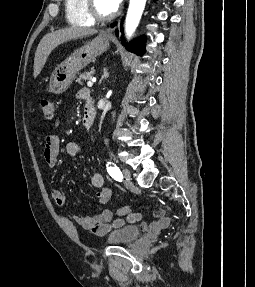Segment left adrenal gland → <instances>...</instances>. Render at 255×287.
<instances>
[{"label": "left adrenal gland", "instance_id": "left-adrenal-gland-1", "mask_svg": "<svg viewBox=\"0 0 255 287\" xmlns=\"http://www.w3.org/2000/svg\"><path fill=\"white\" fill-rule=\"evenodd\" d=\"M103 72H104V74H103L101 80H99V84H102L103 80H106V78H109V74L107 72V68H104Z\"/></svg>", "mask_w": 255, "mask_h": 287}]
</instances>
